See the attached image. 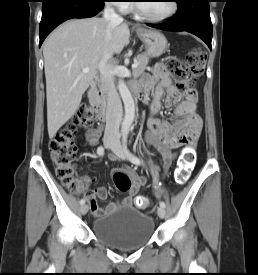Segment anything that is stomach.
Returning a JSON list of instances; mask_svg holds the SVG:
<instances>
[{"label": "stomach", "instance_id": "1", "mask_svg": "<svg viewBox=\"0 0 258 275\" xmlns=\"http://www.w3.org/2000/svg\"><path fill=\"white\" fill-rule=\"evenodd\" d=\"M136 34L146 46V54L149 57H159L165 52L167 39L161 32L139 28L136 30Z\"/></svg>", "mask_w": 258, "mask_h": 275}]
</instances>
